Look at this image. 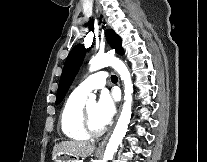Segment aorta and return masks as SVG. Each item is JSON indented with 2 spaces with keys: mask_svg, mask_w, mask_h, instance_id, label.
I'll return each instance as SVG.
<instances>
[{
  "mask_svg": "<svg viewBox=\"0 0 207 162\" xmlns=\"http://www.w3.org/2000/svg\"><path fill=\"white\" fill-rule=\"evenodd\" d=\"M89 70L91 72L97 71L107 66L113 67L121 77V80L124 83V104L118 119V122L115 126V129L109 139V142L106 146L103 162L112 160L114 154L117 152L118 146L124 138L128 124L130 123L131 118V106H132V93H133V84L131 80V75L126 67V65L120 59L116 58L113 55L109 54H97L92 57L89 61ZM96 96L94 94L89 95L88 102H95Z\"/></svg>",
  "mask_w": 207,
  "mask_h": 162,
  "instance_id": "obj_1",
  "label": "aorta"
}]
</instances>
